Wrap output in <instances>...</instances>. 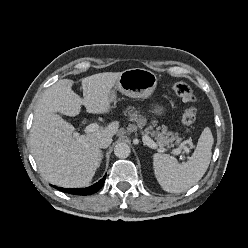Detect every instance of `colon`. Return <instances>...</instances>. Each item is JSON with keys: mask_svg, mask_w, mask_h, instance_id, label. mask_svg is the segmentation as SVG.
<instances>
[{"mask_svg": "<svg viewBox=\"0 0 248 248\" xmlns=\"http://www.w3.org/2000/svg\"><path fill=\"white\" fill-rule=\"evenodd\" d=\"M172 89L186 104L182 114V123L186 127L192 126L196 120L197 109L194 106L196 98L191 87L185 82H176L173 84Z\"/></svg>", "mask_w": 248, "mask_h": 248, "instance_id": "obj_1", "label": "colon"}]
</instances>
